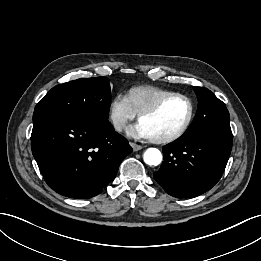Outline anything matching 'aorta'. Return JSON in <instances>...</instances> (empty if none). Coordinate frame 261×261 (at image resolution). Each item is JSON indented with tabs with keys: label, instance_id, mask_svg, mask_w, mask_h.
<instances>
[{
	"label": "aorta",
	"instance_id": "aorta-1",
	"mask_svg": "<svg viewBox=\"0 0 261 261\" xmlns=\"http://www.w3.org/2000/svg\"><path fill=\"white\" fill-rule=\"evenodd\" d=\"M144 162L150 166H157L162 161V154L161 152L156 148H148L144 155Z\"/></svg>",
	"mask_w": 261,
	"mask_h": 261
}]
</instances>
